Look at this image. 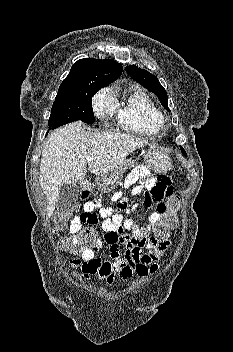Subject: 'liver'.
Masks as SVG:
<instances>
[{"instance_id": "1", "label": "liver", "mask_w": 233, "mask_h": 352, "mask_svg": "<svg viewBox=\"0 0 233 352\" xmlns=\"http://www.w3.org/2000/svg\"><path fill=\"white\" fill-rule=\"evenodd\" d=\"M147 141L124 133H97L81 122H73L51 134L42 152L39 182L48 198V216L53 214L63 185L85 178L88 170L104 175ZM87 157L94 160L87 162Z\"/></svg>"}]
</instances>
